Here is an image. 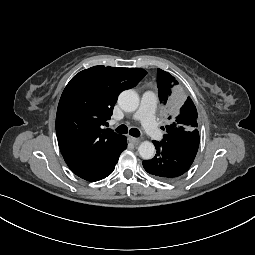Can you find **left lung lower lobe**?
Segmentation results:
<instances>
[{
  "label": "left lung lower lobe",
  "instance_id": "1",
  "mask_svg": "<svg viewBox=\"0 0 255 255\" xmlns=\"http://www.w3.org/2000/svg\"><path fill=\"white\" fill-rule=\"evenodd\" d=\"M156 155L144 160V169L162 181H172L183 175L193 163L199 147V136L175 141H153Z\"/></svg>",
  "mask_w": 255,
  "mask_h": 255
}]
</instances>
